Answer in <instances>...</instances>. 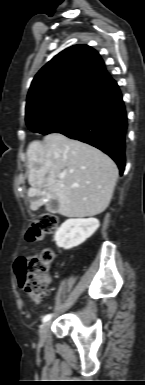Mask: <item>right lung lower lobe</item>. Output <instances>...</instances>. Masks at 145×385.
Wrapping results in <instances>:
<instances>
[{
    "instance_id": "right-lung-lower-lobe-1",
    "label": "right lung lower lobe",
    "mask_w": 145,
    "mask_h": 385,
    "mask_svg": "<svg viewBox=\"0 0 145 385\" xmlns=\"http://www.w3.org/2000/svg\"><path fill=\"white\" fill-rule=\"evenodd\" d=\"M127 114L117 83L101 90L77 115L54 132L88 143L125 168Z\"/></svg>"
}]
</instances>
